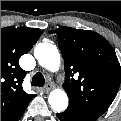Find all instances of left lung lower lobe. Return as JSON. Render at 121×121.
Returning <instances> with one entry per match:
<instances>
[{
  "instance_id": "1",
  "label": "left lung lower lobe",
  "mask_w": 121,
  "mask_h": 121,
  "mask_svg": "<svg viewBox=\"0 0 121 121\" xmlns=\"http://www.w3.org/2000/svg\"><path fill=\"white\" fill-rule=\"evenodd\" d=\"M57 116L61 121H94V120L89 119V118L78 116V115L73 114L69 111L57 113Z\"/></svg>"
}]
</instances>
